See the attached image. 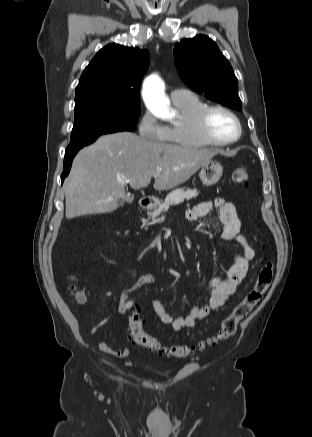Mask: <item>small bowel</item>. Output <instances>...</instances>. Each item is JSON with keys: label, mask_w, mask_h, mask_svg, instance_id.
Returning a JSON list of instances; mask_svg holds the SVG:
<instances>
[{"label": "small bowel", "mask_w": 312, "mask_h": 437, "mask_svg": "<svg viewBox=\"0 0 312 437\" xmlns=\"http://www.w3.org/2000/svg\"><path fill=\"white\" fill-rule=\"evenodd\" d=\"M213 208L219 211V217L223 225L222 237L227 241H236L241 246L242 253L234 255L233 263L223 277H215L210 280L208 303L203 306L192 307L187 316L174 318L166 311L161 301L154 300L152 302V308L159 321L165 325H170L174 331H179L183 328H193L198 320L205 319L211 311L223 306L226 300L236 292L245 278L248 272L249 261L255 256L254 250L249 247L244 236L241 234V221L232 202L223 198L200 202L186 211V218L189 221H195L208 215ZM154 282L155 278L152 274H145L133 286L123 291L119 301V314L125 315L136 306V302L130 297L132 292L151 286ZM84 300L83 296L82 302ZM96 346L101 352L118 358H124L129 355L128 348L118 349L110 342H98Z\"/></svg>", "instance_id": "obj_1"}]
</instances>
